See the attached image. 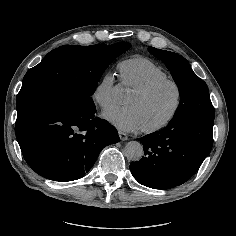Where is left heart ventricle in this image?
<instances>
[{"label": "left heart ventricle", "instance_id": "left-heart-ventricle-1", "mask_svg": "<svg viewBox=\"0 0 236 236\" xmlns=\"http://www.w3.org/2000/svg\"><path fill=\"white\" fill-rule=\"evenodd\" d=\"M175 102L176 91L171 85H165L145 97L133 92L126 101L128 106L137 110L142 127H151L163 121L171 113Z\"/></svg>", "mask_w": 236, "mask_h": 236}]
</instances>
